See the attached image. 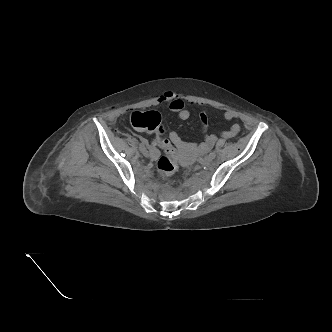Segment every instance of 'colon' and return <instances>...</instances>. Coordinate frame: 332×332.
Masks as SVG:
<instances>
[{
	"label": "colon",
	"instance_id": "obj_1",
	"mask_svg": "<svg viewBox=\"0 0 332 332\" xmlns=\"http://www.w3.org/2000/svg\"><path fill=\"white\" fill-rule=\"evenodd\" d=\"M131 124L138 130L155 133L158 145L164 150L165 155L157 161V170L163 177L172 176L178 169L176 151L172 143L162 138L164 132L161 125V116L156 111L134 112L131 115Z\"/></svg>",
	"mask_w": 332,
	"mask_h": 332
}]
</instances>
